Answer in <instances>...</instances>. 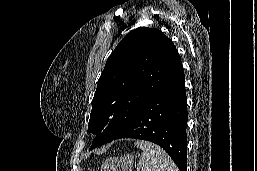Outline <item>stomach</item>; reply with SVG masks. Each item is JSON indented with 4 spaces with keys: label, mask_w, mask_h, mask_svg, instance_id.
Here are the masks:
<instances>
[{
    "label": "stomach",
    "mask_w": 257,
    "mask_h": 171,
    "mask_svg": "<svg viewBox=\"0 0 257 171\" xmlns=\"http://www.w3.org/2000/svg\"><path fill=\"white\" fill-rule=\"evenodd\" d=\"M134 157L127 154L121 157H110L103 162L100 171H132Z\"/></svg>",
    "instance_id": "1"
}]
</instances>
